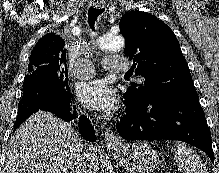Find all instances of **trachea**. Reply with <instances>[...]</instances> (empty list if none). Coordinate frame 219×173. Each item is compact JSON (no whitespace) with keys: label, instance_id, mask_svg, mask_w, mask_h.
I'll return each mask as SVG.
<instances>
[{"label":"trachea","instance_id":"1","mask_svg":"<svg viewBox=\"0 0 219 173\" xmlns=\"http://www.w3.org/2000/svg\"><path fill=\"white\" fill-rule=\"evenodd\" d=\"M104 8L102 9H96V8H89V11H88V22H89V26L91 27V29L94 31L95 30V22L98 18V16L100 14H102L104 12Z\"/></svg>","mask_w":219,"mask_h":173}]
</instances>
